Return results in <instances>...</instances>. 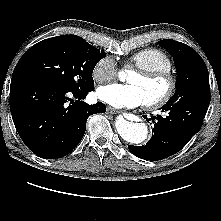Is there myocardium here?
Masks as SVG:
<instances>
[{
	"label": "myocardium",
	"mask_w": 221,
	"mask_h": 221,
	"mask_svg": "<svg viewBox=\"0 0 221 221\" xmlns=\"http://www.w3.org/2000/svg\"><path fill=\"white\" fill-rule=\"evenodd\" d=\"M137 74L150 80H164L167 83V89L165 93L159 98L146 102L145 106L149 109H158L166 105L174 96L177 89V78L176 76L168 70H145L137 69Z\"/></svg>",
	"instance_id": "obj_1"
}]
</instances>
